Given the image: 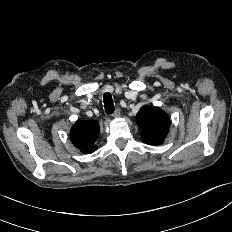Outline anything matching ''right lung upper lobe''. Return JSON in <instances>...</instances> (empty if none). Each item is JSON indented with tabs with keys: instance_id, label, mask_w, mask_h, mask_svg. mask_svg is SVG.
Instances as JSON below:
<instances>
[{
	"instance_id": "cb5924a9",
	"label": "right lung upper lobe",
	"mask_w": 232,
	"mask_h": 232,
	"mask_svg": "<svg viewBox=\"0 0 232 232\" xmlns=\"http://www.w3.org/2000/svg\"><path fill=\"white\" fill-rule=\"evenodd\" d=\"M99 135L97 121L78 120L70 130V140L80 151L90 154L96 151L95 141Z\"/></svg>"
}]
</instances>
